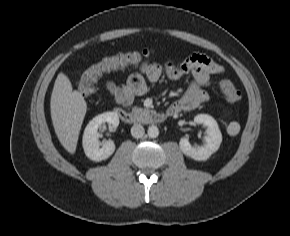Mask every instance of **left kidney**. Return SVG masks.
<instances>
[{"label":"left kidney","instance_id":"left-kidney-1","mask_svg":"<svg viewBox=\"0 0 290 236\" xmlns=\"http://www.w3.org/2000/svg\"><path fill=\"white\" fill-rule=\"evenodd\" d=\"M194 122L207 126L204 145L194 147L189 143L188 139L181 138L179 142L180 149L186 156L194 160L204 161L218 150L222 142V134L216 120L210 115L198 114L194 117Z\"/></svg>","mask_w":290,"mask_h":236}]
</instances>
